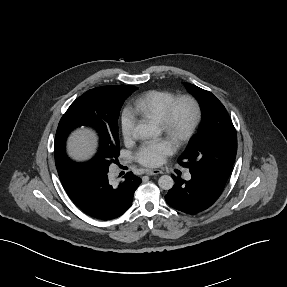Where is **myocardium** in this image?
I'll use <instances>...</instances> for the list:
<instances>
[{"instance_id": "f54148a6", "label": "myocardium", "mask_w": 287, "mask_h": 287, "mask_svg": "<svg viewBox=\"0 0 287 287\" xmlns=\"http://www.w3.org/2000/svg\"><path fill=\"white\" fill-rule=\"evenodd\" d=\"M181 106H186L189 111L188 119L184 124H180L177 120V111ZM200 119L201 107L197 99L191 95H183L169 104L159 124L166 136L171 138L177 146H182L190 140Z\"/></svg>"}]
</instances>
